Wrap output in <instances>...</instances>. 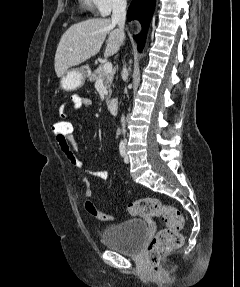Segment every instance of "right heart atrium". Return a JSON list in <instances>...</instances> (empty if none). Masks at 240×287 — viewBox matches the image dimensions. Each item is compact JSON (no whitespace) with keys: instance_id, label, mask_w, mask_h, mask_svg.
I'll return each mask as SVG.
<instances>
[{"instance_id":"d8ad5b80","label":"right heart atrium","mask_w":240,"mask_h":287,"mask_svg":"<svg viewBox=\"0 0 240 287\" xmlns=\"http://www.w3.org/2000/svg\"><path fill=\"white\" fill-rule=\"evenodd\" d=\"M96 13L107 16L112 11L121 9L125 6L126 0H93Z\"/></svg>"}]
</instances>
